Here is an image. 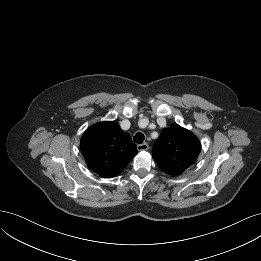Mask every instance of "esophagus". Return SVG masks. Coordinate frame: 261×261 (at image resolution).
<instances>
[{
	"instance_id": "esophagus-1",
	"label": "esophagus",
	"mask_w": 261,
	"mask_h": 261,
	"mask_svg": "<svg viewBox=\"0 0 261 261\" xmlns=\"http://www.w3.org/2000/svg\"><path fill=\"white\" fill-rule=\"evenodd\" d=\"M148 149H149V145L146 142L137 145V150L138 151H144V150H148Z\"/></svg>"
}]
</instances>
